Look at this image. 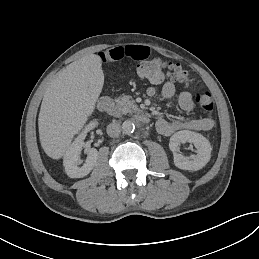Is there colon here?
Segmentation results:
<instances>
[{"instance_id": "1", "label": "colon", "mask_w": 259, "mask_h": 259, "mask_svg": "<svg viewBox=\"0 0 259 259\" xmlns=\"http://www.w3.org/2000/svg\"><path fill=\"white\" fill-rule=\"evenodd\" d=\"M137 73L142 79L154 84L160 83L166 78L185 85L192 82L187 72L179 64L167 62L160 58L144 61L138 66ZM194 100L212 118L214 102L210 92H198Z\"/></svg>"}]
</instances>
